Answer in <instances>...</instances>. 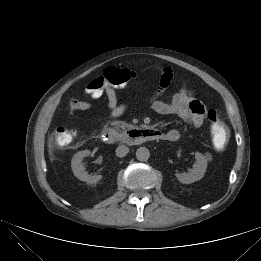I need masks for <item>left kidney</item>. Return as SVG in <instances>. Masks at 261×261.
<instances>
[{
    "label": "left kidney",
    "mask_w": 261,
    "mask_h": 261,
    "mask_svg": "<svg viewBox=\"0 0 261 261\" xmlns=\"http://www.w3.org/2000/svg\"><path fill=\"white\" fill-rule=\"evenodd\" d=\"M196 163L188 173H176L177 179L183 184H191L203 178L207 169V159L199 152H195Z\"/></svg>",
    "instance_id": "1"
}]
</instances>
